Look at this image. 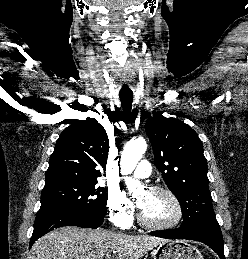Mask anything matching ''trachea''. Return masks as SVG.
Listing matches in <instances>:
<instances>
[{
  "instance_id": "3493384b",
  "label": "trachea",
  "mask_w": 248,
  "mask_h": 259,
  "mask_svg": "<svg viewBox=\"0 0 248 259\" xmlns=\"http://www.w3.org/2000/svg\"><path fill=\"white\" fill-rule=\"evenodd\" d=\"M120 101L121 106L123 108V111L126 115H128L132 108V102H133V92H120Z\"/></svg>"
}]
</instances>
